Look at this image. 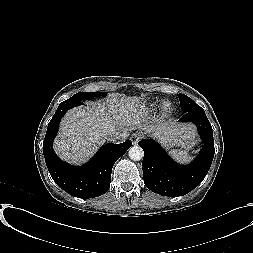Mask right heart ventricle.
Listing matches in <instances>:
<instances>
[{"instance_id": "right-heart-ventricle-1", "label": "right heart ventricle", "mask_w": 253, "mask_h": 253, "mask_svg": "<svg viewBox=\"0 0 253 253\" xmlns=\"http://www.w3.org/2000/svg\"><path fill=\"white\" fill-rule=\"evenodd\" d=\"M154 105H151V107L149 108V111H153L154 110Z\"/></svg>"}]
</instances>
